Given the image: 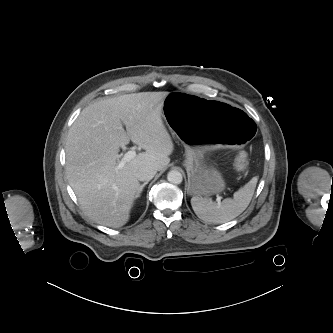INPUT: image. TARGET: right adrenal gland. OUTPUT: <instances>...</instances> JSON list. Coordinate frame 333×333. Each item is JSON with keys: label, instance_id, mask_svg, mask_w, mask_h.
Masks as SVG:
<instances>
[{"label": "right adrenal gland", "instance_id": "1", "mask_svg": "<svg viewBox=\"0 0 333 333\" xmlns=\"http://www.w3.org/2000/svg\"><path fill=\"white\" fill-rule=\"evenodd\" d=\"M147 185V182H144L141 186H140V190L138 191L136 198L139 197L140 193L142 192L143 188Z\"/></svg>", "mask_w": 333, "mask_h": 333}]
</instances>
